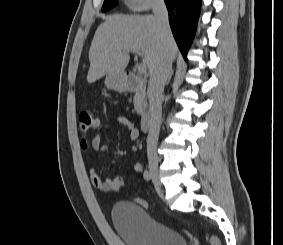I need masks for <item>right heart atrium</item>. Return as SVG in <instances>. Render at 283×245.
Here are the masks:
<instances>
[{
    "instance_id": "obj_1",
    "label": "right heart atrium",
    "mask_w": 283,
    "mask_h": 245,
    "mask_svg": "<svg viewBox=\"0 0 283 245\" xmlns=\"http://www.w3.org/2000/svg\"><path fill=\"white\" fill-rule=\"evenodd\" d=\"M134 11H144L159 5L163 0H125Z\"/></svg>"
}]
</instances>
